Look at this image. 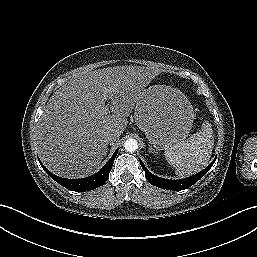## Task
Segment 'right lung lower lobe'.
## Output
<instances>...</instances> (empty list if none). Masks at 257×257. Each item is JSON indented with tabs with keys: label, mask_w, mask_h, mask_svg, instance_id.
<instances>
[{
	"label": "right lung lower lobe",
	"mask_w": 257,
	"mask_h": 257,
	"mask_svg": "<svg viewBox=\"0 0 257 257\" xmlns=\"http://www.w3.org/2000/svg\"><path fill=\"white\" fill-rule=\"evenodd\" d=\"M118 149L115 151L111 159L104 165V167L97 172L96 174L82 179H66L62 177H58L51 172H49L44 165L40 162V165L42 168L47 172V174L53 178L57 183L64 186L65 188L76 191V192H82V191H89L93 190L97 187L102 186L108 179L109 173L111 171L114 159L117 155ZM39 160V159H38Z\"/></svg>",
	"instance_id": "obj_1"
}]
</instances>
